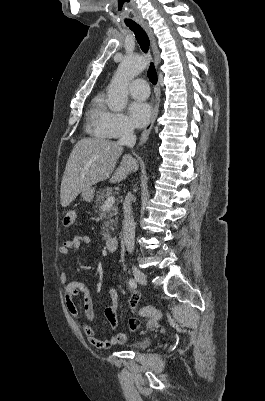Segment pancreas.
Masks as SVG:
<instances>
[{
  "instance_id": "obj_1",
  "label": "pancreas",
  "mask_w": 265,
  "mask_h": 401,
  "mask_svg": "<svg viewBox=\"0 0 265 401\" xmlns=\"http://www.w3.org/2000/svg\"><path fill=\"white\" fill-rule=\"evenodd\" d=\"M112 194L113 190L111 186H105V188L97 190L96 198L94 201L95 205L93 207V209H95V213H99V211H102V207L105 203V198H107V196H112ZM116 215H118V207H116V205H112L109 211H106V215H104V219H107V221H105L104 225H102L101 227L102 231L100 235H102V239H108V237H110L109 233L110 231H112L113 225H116L117 223L118 217H116ZM112 217H115V219H112Z\"/></svg>"
}]
</instances>
